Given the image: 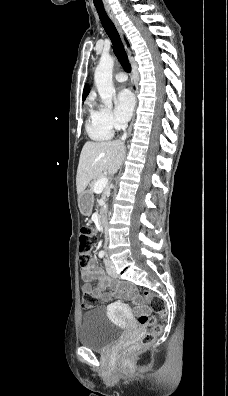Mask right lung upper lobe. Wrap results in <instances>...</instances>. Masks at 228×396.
Segmentation results:
<instances>
[{
    "mask_svg": "<svg viewBox=\"0 0 228 396\" xmlns=\"http://www.w3.org/2000/svg\"><path fill=\"white\" fill-rule=\"evenodd\" d=\"M88 93H89V87L86 85L83 91V100L87 97Z\"/></svg>",
    "mask_w": 228,
    "mask_h": 396,
    "instance_id": "1",
    "label": "right lung upper lobe"
}]
</instances>
